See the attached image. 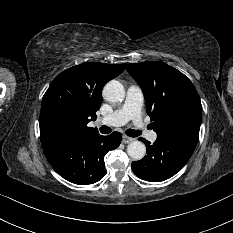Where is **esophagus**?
<instances>
[{
  "mask_svg": "<svg viewBox=\"0 0 233 233\" xmlns=\"http://www.w3.org/2000/svg\"><path fill=\"white\" fill-rule=\"evenodd\" d=\"M134 140H135L134 138H131V137H128V136L124 135L123 139H122V142L125 143V144H128V143L133 142Z\"/></svg>",
  "mask_w": 233,
  "mask_h": 233,
  "instance_id": "1",
  "label": "esophagus"
}]
</instances>
